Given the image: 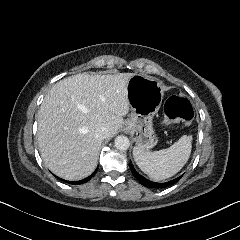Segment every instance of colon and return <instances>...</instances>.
<instances>
[{"label": "colon", "mask_w": 240, "mask_h": 240, "mask_svg": "<svg viewBox=\"0 0 240 240\" xmlns=\"http://www.w3.org/2000/svg\"><path fill=\"white\" fill-rule=\"evenodd\" d=\"M193 116L194 111L191 102L184 96H173L164 105L162 123L176 125L177 120L189 121Z\"/></svg>", "instance_id": "colon-1"}]
</instances>
